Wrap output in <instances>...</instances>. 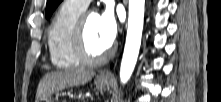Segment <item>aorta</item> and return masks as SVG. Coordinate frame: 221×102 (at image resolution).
I'll use <instances>...</instances> for the list:
<instances>
[{
  "mask_svg": "<svg viewBox=\"0 0 221 102\" xmlns=\"http://www.w3.org/2000/svg\"><path fill=\"white\" fill-rule=\"evenodd\" d=\"M145 0H129L126 43L120 67V81L125 84L135 68L142 38Z\"/></svg>",
  "mask_w": 221,
  "mask_h": 102,
  "instance_id": "obj_1",
  "label": "aorta"
}]
</instances>
